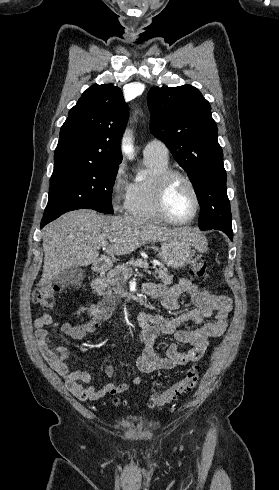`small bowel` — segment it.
<instances>
[{"label": "small bowel", "instance_id": "obj_1", "mask_svg": "<svg viewBox=\"0 0 279 490\" xmlns=\"http://www.w3.org/2000/svg\"><path fill=\"white\" fill-rule=\"evenodd\" d=\"M144 291L151 298L160 301L166 310L179 311L180 297L184 294L189 296L194 308L179 311L174 316L150 312L138 314L137 323L141 330L143 351L137 364L142 372L170 369L199 360L210 340L223 336L228 328L229 314L232 310L231 299L227 296L214 295L207 289L198 287L189 279H181L170 287L149 284L144 287ZM213 315L214 320L205 323ZM189 321L193 322L196 327L193 329L180 328L183 323ZM33 326L35 341L44 359L64 380L67 390L78 399L98 400L107 394L117 395L128 389L129 385L126 383H108L103 388L97 389L91 384L92 376L89 372L69 370L66 361L73 357V352L69 347L64 345L53 347L52 345L48 327L56 326L66 336L81 341L98 330L99 319L92 318L75 324H59L50 314H44L35 319ZM161 333L174 334L178 342L188 344L192 348L188 352H181L176 344H172L168 347L166 356H160L156 351L155 341ZM105 372L112 377L114 367L107 365ZM140 382L139 377L132 380L133 384Z\"/></svg>", "mask_w": 279, "mask_h": 490}]
</instances>
